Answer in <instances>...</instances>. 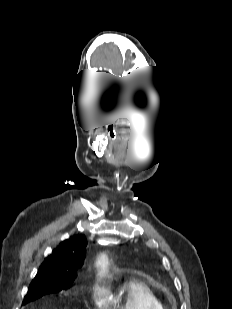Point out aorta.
Listing matches in <instances>:
<instances>
[{
    "label": "aorta",
    "mask_w": 232,
    "mask_h": 309,
    "mask_svg": "<svg viewBox=\"0 0 232 309\" xmlns=\"http://www.w3.org/2000/svg\"><path fill=\"white\" fill-rule=\"evenodd\" d=\"M97 266L100 269V273L104 275L108 270V257L106 254H101L97 260Z\"/></svg>",
    "instance_id": "aorta-1"
}]
</instances>
